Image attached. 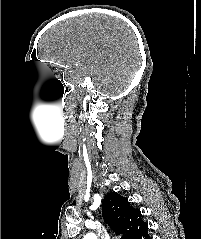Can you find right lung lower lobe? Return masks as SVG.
Masks as SVG:
<instances>
[{"label": "right lung lower lobe", "mask_w": 201, "mask_h": 239, "mask_svg": "<svg viewBox=\"0 0 201 239\" xmlns=\"http://www.w3.org/2000/svg\"><path fill=\"white\" fill-rule=\"evenodd\" d=\"M145 239H151V238L149 237V235H147V236L145 237Z\"/></svg>", "instance_id": "98d812e1"}]
</instances>
